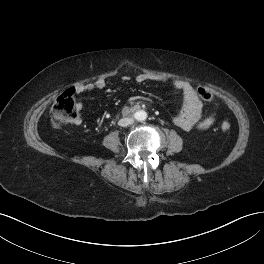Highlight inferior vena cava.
Segmentation results:
<instances>
[{
	"label": "inferior vena cava",
	"mask_w": 264,
	"mask_h": 264,
	"mask_svg": "<svg viewBox=\"0 0 264 264\" xmlns=\"http://www.w3.org/2000/svg\"><path fill=\"white\" fill-rule=\"evenodd\" d=\"M132 123H133V119L132 118H122V119L119 120L118 125L122 126V127H126V126H128V125H130Z\"/></svg>",
	"instance_id": "inferior-vena-cava-1"
}]
</instances>
